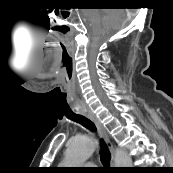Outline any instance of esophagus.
<instances>
[{"instance_id": "obj_1", "label": "esophagus", "mask_w": 173, "mask_h": 173, "mask_svg": "<svg viewBox=\"0 0 173 173\" xmlns=\"http://www.w3.org/2000/svg\"><path fill=\"white\" fill-rule=\"evenodd\" d=\"M82 113L86 117H88L90 120H92L95 123L96 127L98 128L100 135L103 137V139L105 140V142L110 150L111 164L113 165L114 164V148H113V144H112L105 128L103 127L102 123L97 119V117L90 111V109L88 107H84L82 109Z\"/></svg>"}]
</instances>
